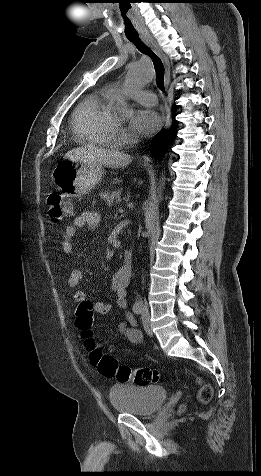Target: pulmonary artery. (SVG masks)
Instances as JSON below:
<instances>
[{
	"label": "pulmonary artery",
	"mask_w": 261,
	"mask_h": 476,
	"mask_svg": "<svg viewBox=\"0 0 261 476\" xmlns=\"http://www.w3.org/2000/svg\"><path fill=\"white\" fill-rule=\"evenodd\" d=\"M109 91L114 95L118 92V87L114 86ZM131 98L146 106H154L157 103L155 93L150 90H136L131 93Z\"/></svg>",
	"instance_id": "obj_1"
}]
</instances>
